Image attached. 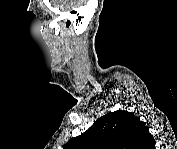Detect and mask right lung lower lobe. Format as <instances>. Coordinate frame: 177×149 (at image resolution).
<instances>
[{
  "label": "right lung lower lobe",
  "instance_id": "right-lung-lower-lobe-1",
  "mask_svg": "<svg viewBox=\"0 0 177 149\" xmlns=\"http://www.w3.org/2000/svg\"><path fill=\"white\" fill-rule=\"evenodd\" d=\"M148 140H153V137L151 136V134L149 133V135H147ZM155 146V142H153V145H151V147L153 148Z\"/></svg>",
  "mask_w": 177,
  "mask_h": 149
}]
</instances>
